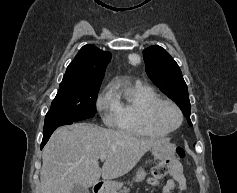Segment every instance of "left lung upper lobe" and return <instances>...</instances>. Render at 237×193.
Masks as SVG:
<instances>
[{
  "instance_id": "left-lung-upper-lobe-1",
  "label": "left lung upper lobe",
  "mask_w": 237,
  "mask_h": 193,
  "mask_svg": "<svg viewBox=\"0 0 237 193\" xmlns=\"http://www.w3.org/2000/svg\"><path fill=\"white\" fill-rule=\"evenodd\" d=\"M143 56L148 77L180 107L188 124L192 126L188 89L177 63L157 45L144 49Z\"/></svg>"
}]
</instances>
